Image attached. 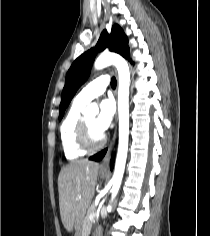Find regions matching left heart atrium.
Returning <instances> with one entry per match:
<instances>
[{"mask_svg": "<svg viewBox=\"0 0 210 236\" xmlns=\"http://www.w3.org/2000/svg\"><path fill=\"white\" fill-rule=\"evenodd\" d=\"M114 115V105L110 99H105L100 104L98 116L94 125L97 131L103 134L111 125Z\"/></svg>", "mask_w": 210, "mask_h": 236, "instance_id": "left-heart-atrium-1", "label": "left heart atrium"}]
</instances>
